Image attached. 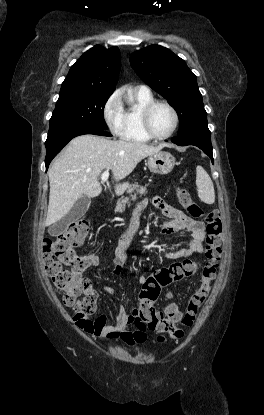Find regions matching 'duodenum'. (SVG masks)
Masks as SVG:
<instances>
[{
    "label": "duodenum",
    "instance_id": "obj_1",
    "mask_svg": "<svg viewBox=\"0 0 264 415\" xmlns=\"http://www.w3.org/2000/svg\"><path fill=\"white\" fill-rule=\"evenodd\" d=\"M139 219L138 218H133V222H132V224H133V226L135 227V228H137L138 227V225H139Z\"/></svg>",
    "mask_w": 264,
    "mask_h": 415
}]
</instances>
